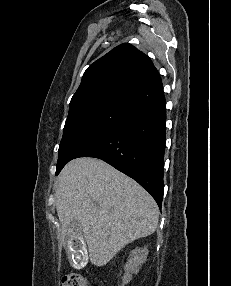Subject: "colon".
Masks as SVG:
<instances>
[{"mask_svg":"<svg viewBox=\"0 0 231 286\" xmlns=\"http://www.w3.org/2000/svg\"><path fill=\"white\" fill-rule=\"evenodd\" d=\"M62 286H88V281L84 275L74 272L63 277Z\"/></svg>","mask_w":231,"mask_h":286,"instance_id":"1","label":"colon"}]
</instances>
